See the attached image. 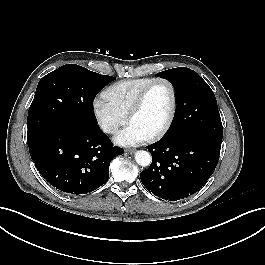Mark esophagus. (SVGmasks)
<instances>
[{"label": "esophagus", "mask_w": 265, "mask_h": 265, "mask_svg": "<svg viewBox=\"0 0 265 265\" xmlns=\"http://www.w3.org/2000/svg\"><path fill=\"white\" fill-rule=\"evenodd\" d=\"M135 152L134 149H126L125 154H133Z\"/></svg>", "instance_id": "34e87169"}]
</instances>
